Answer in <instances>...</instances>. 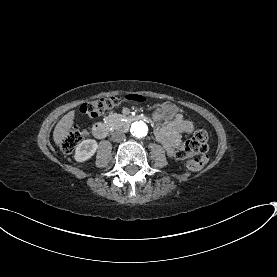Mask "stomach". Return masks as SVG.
<instances>
[{"label":"stomach","instance_id":"1","mask_svg":"<svg viewBox=\"0 0 277 277\" xmlns=\"http://www.w3.org/2000/svg\"><path fill=\"white\" fill-rule=\"evenodd\" d=\"M161 110V115L164 119H172L178 112V108L171 104H161L159 105Z\"/></svg>","mask_w":277,"mask_h":277}]
</instances>
